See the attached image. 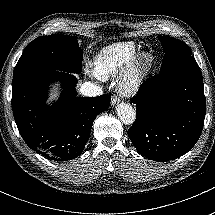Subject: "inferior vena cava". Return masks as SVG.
<instances>
[{"mask_svg":"<svg viewBox=\"0 0 215 215\" xmlns=\"http://www.w3.org/2000/svg\"><path fill=\"white\" fill-rule=\"evenodd\" d=\"M80 93L85 97H98L103 94V91L94 83L86 81L80 86Z\"/></svg>","mask_w":215,"mask_h":215,"instance_id":"1","label":"inferior vena cava"}]
</instances>
